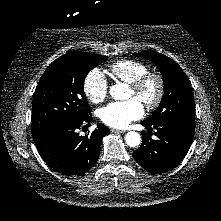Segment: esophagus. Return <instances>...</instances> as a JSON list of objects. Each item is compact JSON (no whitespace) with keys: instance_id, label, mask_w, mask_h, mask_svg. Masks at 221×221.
Returning a JSON list of instances; mask_svg holds the SVG:
<instances>
[{"instance_id":"esophagus-1","label":"esophagus","mask_w":221,"mask_h":221,"mask_svg":"<svg viewBox=\"0 0 221 221\" xmlns=\"http://www.w3.org/2000/svg\"><path fill=\"white\" fill-rule=\"evenodd\" d=\"M111 132H113V133H124L125 131L119 130V129H115V128H111Z\"/></svg>"}]
</instances>
